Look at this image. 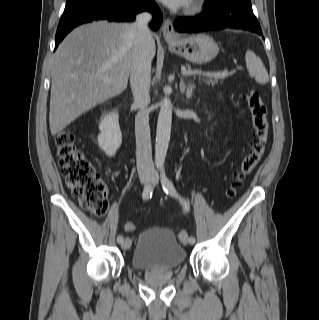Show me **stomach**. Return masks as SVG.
<instances>
[{
  "instance_id": "1",
  "label": "stomach",
  "mask_w": 319,
  "mask_h": 320,
  "mask_svg": "<svg viewBox=\"0 0 319 320\" xmlns=\"http://www.w3.org/2000/svg\"><path fill=\"white\" fill-rule=\"evenodd\" d=\"M170 49L177 55L195 64H204L213 60L219 47L215 40L206 34H196L168 41Z\"/></svg>"
}]
</instances>
